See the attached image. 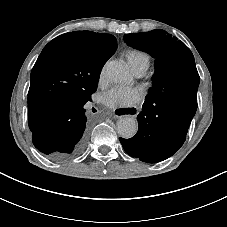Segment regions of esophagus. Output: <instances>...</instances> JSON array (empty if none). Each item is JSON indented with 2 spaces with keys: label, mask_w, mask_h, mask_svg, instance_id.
<instances>
[{
  "label": "esophagus",
  "mask_w": 227,
  "mask_h": 227,
  "mask_svg": "<svg viewBox=\"0 0 227 227\" xmlns=\"http://www.w3.org/2000/svg\"><path fill=\"white\" fill-rule=\"evenodd\" d=\"M135 112H138V111H136L134 108L130 107V108H127V109H126V108H125V109H124V108H121V109L118 108V109L115 110L114 113H115V115L118 116V117H120V116H121V117H124V116H125V117H126V116H127V117H130V116L134 115Z\"/></svg>",
  "instance_id": "obj_1"
}]
</instances>
